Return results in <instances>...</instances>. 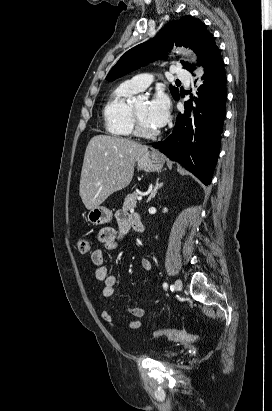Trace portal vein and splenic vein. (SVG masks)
I'll list each match as a JSON object with an SVG mask.
<instances>
[{"label": "portal vein and splenic vein", "mask_w": 272, "mask_h": 411, "mask_svg": "<svg viewBox=\"0 0 272 411\" xmlns=\"http://www.w3.org/2000/svg\"><path fill=\"white\" fill-rule=\"evenodd\" d=\"M137 200H138V201H141V200H142V195L137 196Z\"/></svg>", "instance_id": "portal-vein-and-splenic-vein-1"}]
</instances>
